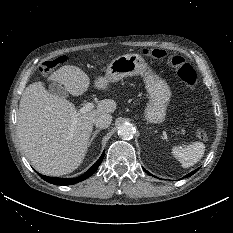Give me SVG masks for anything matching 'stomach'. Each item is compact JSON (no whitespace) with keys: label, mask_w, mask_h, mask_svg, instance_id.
Returning <instances> with one entry per match:
<instances>
[{"label":"stomach","mask_w":233,"mask_h":233,"mask_svg":"<svg viewBox=\"0 0 233 233\" xmlns=\"http://www.w3.org/2000/svg\"><path fill=\"white\" fill-rule=\"evenodd\" d=\"M142 75L149 96L144 117L149 123L160 124L165 120L172 92L167 82L152 72L140 54L130 53L116 57L108 65L105 77L118 82L124 77Z\"/></svg>","instance_id":"0dacf381"}]
</instances>
